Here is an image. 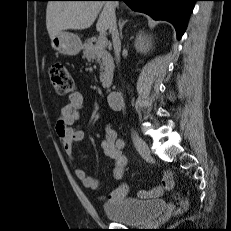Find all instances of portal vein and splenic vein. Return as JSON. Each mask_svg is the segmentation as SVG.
Wrapping results in <instances>:
<instances>
[{
  "instance_id": "portal-vein-and-splenic-vein-1",
  "label": "portal vein and splenic vein",
  "mask_w": 231,
  "mask_h": 231,
  "mask_svg": "<svg viewBox=\"0 0 231 231\" xmlns=\"http://www.w3.org/2000/svg\"><path fill=\"white\" fill-rule=\"evenodd\" d=\"M97 45L100 48H105L107 45V38L105 37V35L103 33H101L98 37V41H97Z\"/></svg>"
}]
</instances>
